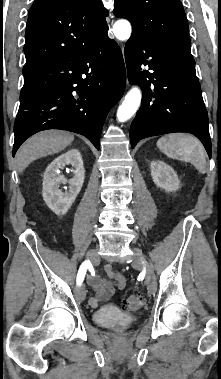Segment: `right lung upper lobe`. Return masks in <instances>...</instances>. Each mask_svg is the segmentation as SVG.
<instances>
[{"label": "right lung upper lobe", "mask_w": 221, "mask_h": 379, "mask_svg": "<svg viewBox=\"0 0 221 379\" xmlns=\"http://www.w3.org/2000/svg\"><path fill=\"white\" fill-rule=\"evenodd\" d=\"M101 0H35L25 33L23 72L82 51L108 32Z\"/></svg>", "instance_id": "1"}]
</instances>
